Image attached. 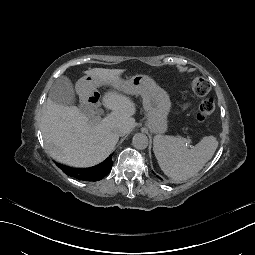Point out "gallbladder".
<instances>
[{"label": "gallbladder", "mask_w": 255, "mask_h": 255, "mask_svg": "<svg viewBox=\"0 0 255 255\" xmlns=\"http://www.w3.org/2000/svg\"><path fill=\"white\" fill-rule=\"evenodd\" d=\"M121 89L123 88L121 87ZM49 99L61 106L75 105L77 103V96L71 80L66 76L57 78L49 91ZM77 109L84 115H90L92 106L87 102L79 103Z\"/></svg>", "instance_id": "gallbladder-1"}]
</instances>
